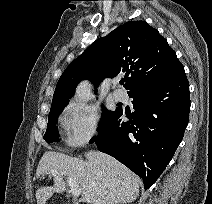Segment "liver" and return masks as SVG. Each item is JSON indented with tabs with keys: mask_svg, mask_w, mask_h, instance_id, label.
<instances>
[{
	"mask_svg": "<svg viewBox=\"0 0 212 204\" xmlns=\"http://www.w3.org/2000/svg\"><path fill=\"white\" fill-rule=\"evenodd\" d=\"M86 161L63 153L47 151L43 154L36 179L57 171L54 185L40 187L36 191L37 204H46L54 193L66 190L64 177L74 180L81 189L84 203L126 204L139 195V183L135 175L113 157L99 151L85 153Z\"/></svg>",
	"mask_w": 212,
	"mask_h": 204,
	"instance_id": "6515ba94",
	"label": "liver"
}]
</instances>
